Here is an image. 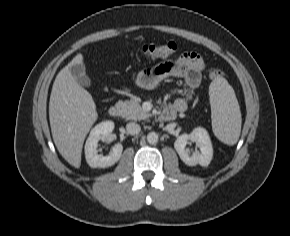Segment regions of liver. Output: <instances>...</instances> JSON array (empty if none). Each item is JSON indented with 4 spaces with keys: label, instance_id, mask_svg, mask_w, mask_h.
Returning a JSON list of instances; mask_svg holds the SVG:
<instances>
[{
    "label": "liver",
    "instance_id": "6515ba94",
    "mask_svg": "<svg viewBox=\"0 0 290 236\" xmlns=\"http://www.w3.org/2000/svg\"><path fill=\"white\" fill-rule=\"evenodd\" d=\"M83 63V55L73 60L57 74L53 83L49 120L54 143L62 157L75 168L81 165L82 147L86 135L97 120L91 94L74 79L70 68Z\"/></svg>",
    "mask_w": 290,
    "mask_h": 236
}]
</instances>
